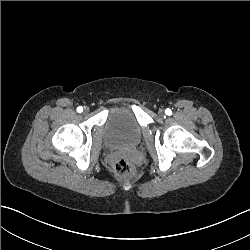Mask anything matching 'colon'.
Instances as JSON below:
<instances>
[{
  "instance_id": "colon-1",
  "label": "colon",
  "mask_w": 250,
  "mask_h": 250,
  "mask_svg": "<svg viewBox=\"0 0 250 250\" xmlns=\"http://www.w3.org/2000/svg\"><path fill=\"white\" fill-rule=\"evenodd\" d=\"M111 174L122 183H131L137 177V168L126 159H117L111 165Z\"/></svg>"
}]
</instances>
